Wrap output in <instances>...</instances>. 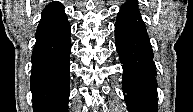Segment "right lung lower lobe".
<instances>
[{
	"mask_svg": "<svg viewBox=\"0 0 193 112\" xmlns=\"http://www.w3.org/2000/svg\"><path fill=\"white\" fill-rule=\"evenodd\" d=\"M70 24L57 1L42 11L32 52L31 91L34 112H68Z\"/></svg>",
	"mask_w": 193,
	"mask_h": 112,
	"instance_id": "right-lung-lower-lobe-1",
	"label": "right lung lower lobe"
}]
</instances>
